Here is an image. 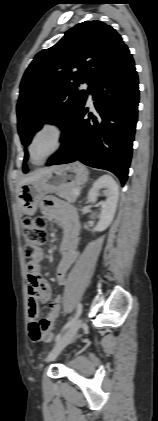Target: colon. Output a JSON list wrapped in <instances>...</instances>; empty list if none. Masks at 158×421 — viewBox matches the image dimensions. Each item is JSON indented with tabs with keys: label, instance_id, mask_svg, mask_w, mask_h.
I'll return each instance as SVG.
<instances>
[{
	"label": "colon",
	"instance_id": "obj_1",
	"mask_svg": "<svg viewBox=\"0 0 158 421\" xmlns=\"http://www.w3.org/2000/svg\"><path fill=\"white\" fill-rule=\"evenodd\" d=\"M45 221L41 217L25 218L23 220L24 253L26 258L33 261L37 258L42 244L47 240ZM53 334L34 331L33 338L36 341L50 342Z\"/></svg>",
	"mask_w": 158,
	"mask_h": 421
}]
</instances>
